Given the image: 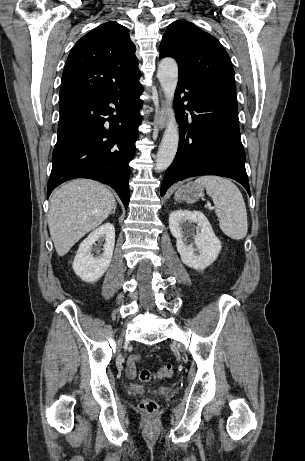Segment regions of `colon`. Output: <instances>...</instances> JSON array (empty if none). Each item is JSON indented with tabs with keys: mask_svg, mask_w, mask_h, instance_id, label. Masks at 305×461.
<instances>
[{
	"mask_svg": "<svg viewBox=\"0 0 305 461\" xmlns=\"http://www.w3.org/2000/svg\"><path fill=\"white\" fill-rule=\"evenodd\" d=\"M174 369L171 364L163 365L156 373L147 368H139L137 370L138 379L142 382H149L155 378H169L173 375ZM139 408L148 415H153L158 410V404L154 399L145 398L140 404Z\"/></svg>",
	"mask_w": 305,
	"mask_h": 461,
	"instance_id": "1",
	"label": "colon"
}]
</instances>
